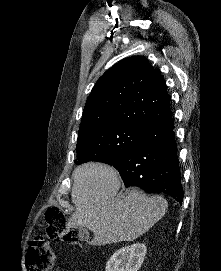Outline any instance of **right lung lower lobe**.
<instances>
[{"label": "right lung lower lobe", "instance_id": "98d812e1", "mask_svg": "<svg viewBox=\"0 0 221 271\" xmlns=\"http://www.w3.org/2000/svg\"><path fill=\"white\" fill-rule=\"evenodd\" d=\"M172 116L148 126L140 141L120 160L111 164L126 187L148 193H166L183 201L180 168Z\"/></svg>", "mask_w": 221, "mask_h": 271}]
</instances>
